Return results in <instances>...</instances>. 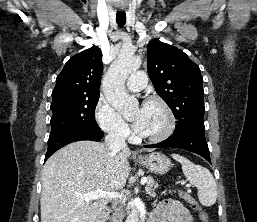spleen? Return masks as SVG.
Here are the masks:
<instances>
[{"label": "spleen", "mask_w": 257, "mask_h": 222, "mask_svg": "<svg viewBox=\"0 0 257 222\" xmlns=\"http://www.w3.org/2000/svg\"><path fill=\"white\" fill-rule=\"evenodd\" d=\"M172 157L182 165L187 180L197 187L200 203L207 207L214 205L217 199V184L210 171L178 154H172Z\"/></svg>", "instance_id": "1"}]
</instances>
